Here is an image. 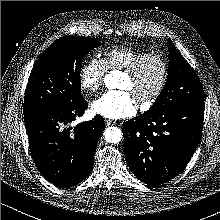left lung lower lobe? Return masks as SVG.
I'll return each instance as SVG.
<instances>
[{
	"instance_id": "1",
	"label": "left lung lower lobe",
	"mask_w": 220,
	"mask_h": 220,
	"mask_svg": "<svg viewBox=\"0 0 220 220\" xmlns=\"http://www.w3.org/2000/svg\"><path fill=\"white\" fill-rule=\"evenodd\" d=\"M204 102L149 112L124 122V154L142 182L164 184L186 167L200 139Z\"/></svg>"
}]
</instances>
